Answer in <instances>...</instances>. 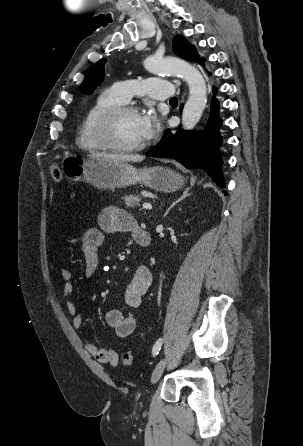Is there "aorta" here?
Wrapping results in <instances>:
<instances>
[{
	"label": "aorta",
	"instance_id": "1",
	"mask_svg": "<svg viewBox=\"0 0 303 446\" xmlns=\"http://www.w3.org/2000/svg\"><path fill=\"white\" fill-rule=\"evenodd\" d=\"M144 66L150 73L177 75L187 82L189 98L183 109L182 126L185 130L193 129L199 122L207 103L206 82L200 71L180 59L150 57L145 60Z\"/></svg>",
	"mask_w": 303,
	"mask_h": 446
}]
</instances>
